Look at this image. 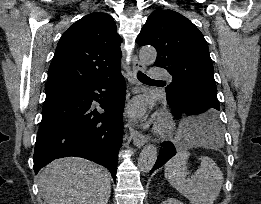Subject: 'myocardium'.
Listing matches in <instances>:
<instances>
[{
  "label": "myocardium",
  "instance_id": "1",
  "mask_svg": "<svg viewBox=\"0 0 261 204\" xmlns=\"http://www.w3.org/2000/svg\"><path fill=\"white\" fill-rule=\"evenodd\" d=\"M174 129V122L171 116L165 112H162L158 115L155 133L159 136H168L172 133Z\"/></svg>",
  "mask_w": 261,
  "mask_h": 204
}]
</instances>
